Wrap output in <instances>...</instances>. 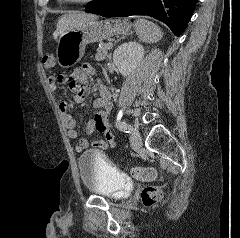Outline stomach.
Wrapping results in <instances>:
<instances>
[{
	"instance_id": "stomach-1",
	"label": "stomach",
	"mask_w": 240,
	"mask_h": 238,
	"mask_svg": "<svg viewBox=\"0 0 240 238\" xmlns=\"http://www.w3.org/2000/svg\"><path fill=\"white\" fill-rule=\"evenodd\" d=\"M130 28V23L125 19L89 20L61 34L56 49L59 66L69 68L75 65L83 57L87 44L127 33Z\"/></svg>"
}]
</instances>
